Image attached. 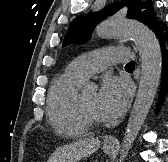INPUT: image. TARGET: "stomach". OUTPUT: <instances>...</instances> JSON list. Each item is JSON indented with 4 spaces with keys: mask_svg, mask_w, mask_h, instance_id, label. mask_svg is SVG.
I'll return each instance as SVG.
<instances>
[{
    "mask_svg": "<svg viewBox=\"0 0 168 162\" xmlns=\"http://www.w3.org/2000/svg\"><path fill=\"white\" fill-rule=\"evenodd\" d=\"M103 150L106 154H112L114 153V151L116 150L115 146H111V147H108V146H104L103 147Z\"/></svg>",
    "mask_w": 168,
    "mask_h": 162,
    "instance_id": "1",
    "label": "stomach"
}]
</instances>
